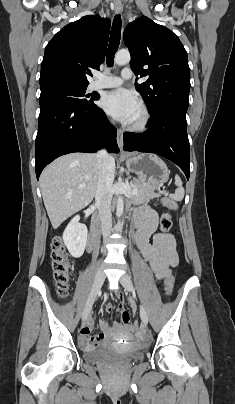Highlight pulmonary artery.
Segmentation results:
<instances>
[{
	"label": "pulmonary artery",
	"instance_id": "1",
	"mask_svg": "<svg viewBox=\"0 0 235 404\" xmlns=\"http://www.w3.org/2000/svg\"><path fill=\"white\" fill-rule=\"evenodd\" d=\"M95 76V81L91 84V89L93 90L118 87L123 83L124 80L132 78L133 72L130 68H125L122 70L121 77L103 76L100 73H96Z\"/></svg>",
	"mask_w": 235,
	"mask_h": 404
}]
</instances>
